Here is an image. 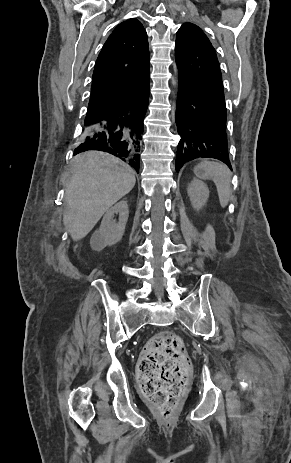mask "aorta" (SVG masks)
<instances>
[{
	"label": "aorta",
	"mask_w": 291,
	"mask_h": 463,
	"mask_svg": "<svg viewBox=\"0 0 291 463\" xmlns=\"http://www.w3.org/2000/svg\"><path fill=\"white\" fill-rule=\"evenodd\" d=\"M172 83H173V85L176 84V80L173 79V80H172Z\"/></svg>",
	"instance_id": "aorta-1"
}]
</instances>
